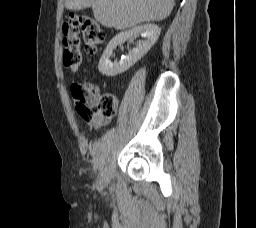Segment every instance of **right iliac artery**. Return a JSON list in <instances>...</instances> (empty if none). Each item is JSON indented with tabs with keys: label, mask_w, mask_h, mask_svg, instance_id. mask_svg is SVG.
Returning a JSON list of instances; mask_svg holds the SVG:
<instances>
[{
	"label": "right iliac artery",
	"mask_w": 256,
	"mask_h": 228,
	"mask_svg": "<svg viewBox=\"0 0 256 228\" xmlns=\"http://www.w3.org/2000/svg\"><path fill=\"white\" fill-rule=\"evenodd\" d=\"M115 134V128L111 129L109 133L106 134L105 140L108 141L111 136Z\"/></svg>",
	"instance_id": "1"
}]
</instances>
